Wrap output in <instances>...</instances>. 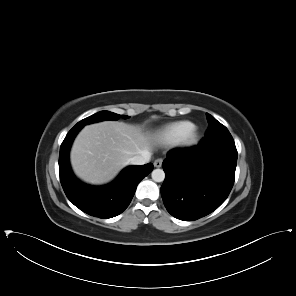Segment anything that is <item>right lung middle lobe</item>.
<instances>
[{
    "label": "right lung middle lobe",
    "mask_w": 296,
    "mask_h": 296,
    "mask_svg": "<svg viewBox=\"0 0 296 296\" xmlns=\"http://www.w3.org/2000/svg\"><path fill=\"white\" fill-rule=\"evenodd\" d=\"M119 117H120V115L109 112V111H100L98 113H95V114L81 120L75 126L82 128L84 125H87L90 123H95V122L104 121V120H117ZM121 117L126 119L128 116L121 115Z\"/></svg>",
    "instance_id": "obj_1"
}]
</instances>
